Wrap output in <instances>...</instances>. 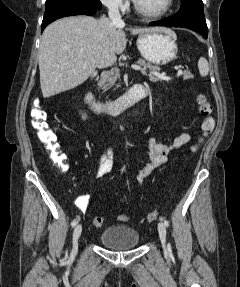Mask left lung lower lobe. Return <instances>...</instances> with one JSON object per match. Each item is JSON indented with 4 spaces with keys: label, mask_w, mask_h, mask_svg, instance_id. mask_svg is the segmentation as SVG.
<instances>
[{
    "label": "left lung lower lobe",
    "mask_w": 240,
    "mask_h": 287,
    "mask_svg": "<svg viewBox=\"0 0 240 287\" xmlns=\"http://www.w3.org/2000/svg\"><path fill=\"white\" fill-rule=\"evenodd\" d=\"M150 25L188 28L208 37L202 0H181L178 13L168 19L151 22Z\"/></svg>",
    "instance_id": "0a47b994"
}]
</instances>
